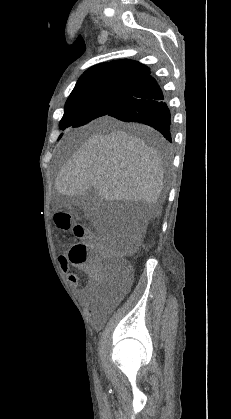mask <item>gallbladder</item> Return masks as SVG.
<instances>
[{
    "label": "gallbladder",
    "mask_w": 231,
    "mask_h": 419,
    "mask_svg": "<svg viewBox=\"0 0 231 419\" xmlns=\"http://www.w3.org/2000/svg\"><path fill=\"white\" fill-rule=\"evenodd\" d=\"M65 200L68 199V197H64ZM100 202V196L97 190L94 188L89 189L84 195L75 198L73 201L74 205H79L86 208V211L90 213L91 211H94Z\"/></svg>",
    "instance_id": "bac80fb5"
}]
</instances>
